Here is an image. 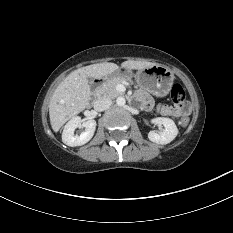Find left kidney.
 Masks as SVG:
<instances>
[{
    "label": "left kidney",
    "mask_w": 233,
    "mask_h": 233,
    "mask_svg": "<svg viewBox=\"0 0 233 233\" xmlns=\"http://www.w3.org/2000/svg\"><path fill=\"white\" fill-rule=\"evenodd\" d=\"M154 124L163 125L164 130L161 133L150 131L148 138L150 141L157 144H168L175 139L178 134V129L174 121L170 118L157 117L152 120Z\"/></svg>",
    "instance_id": "obj_1"
}]
</instances>
